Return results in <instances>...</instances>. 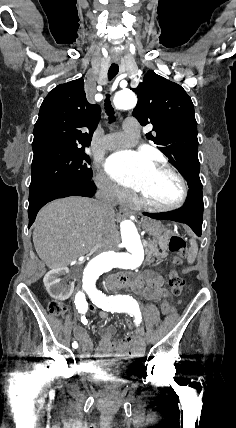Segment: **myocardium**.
<instances>
[{"label": "myocardium", "instance_id": "myocardium-1", "mask_svg": "<svg viewBox=\"0 0 236 428\" xmlns=\"http://www.w3.org/2000/svg\"><path fill=\"white\" fill-rule=\"evenodd\" d=\"M154 169L165 170L177 179L181 189L180 196L174 203L170 205H160L148 200L143 194L139 193V201L143 205L159 212H171L181 208L189 197V186L185 176L168 161H160L156 163Z\"/></svg>", "mask_w": 236, "mask_h": 428}]
</instances>
